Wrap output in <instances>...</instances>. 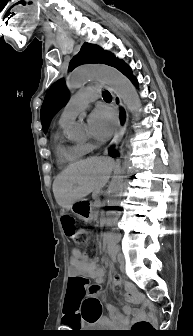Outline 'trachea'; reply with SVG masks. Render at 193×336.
Segmentation results:
<instances>
[{
    "mask_svg": "<svg viewBox=\"0 0 193 336\" xmlns=\"http://www.w3.org/2000/svg\"><path fill=\"white\" fill-rule=\"evenodd\" d=\"M103 99L105 101H110L111 100V95H110V93L108 91H104L103 92Z\"/></svg>",
    "mask_w": 193,
    "mask_h": 336,
    "instance_id": "trachea-1",
    "label": "trachea"
}]
</instances>
